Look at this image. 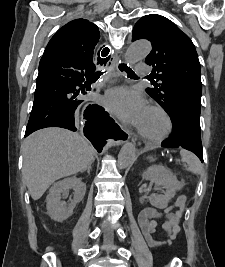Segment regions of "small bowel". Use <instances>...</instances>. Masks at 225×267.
Wrapping results in <instances>:
<instances>
[{"label":"small bowel","instance_id":"c3829d8e","mask_svg":"<svg viewBox=\"0 0 225 267\" xmlns=\"http://www.w3.org/2000/svg\"><path fill=\"white\" fill-rule=\"evenodd\" d=\"M186 198L185 195H180L176 203L164 210H159L153 207L145 208L139 218L141 230L146 241L152 246L170 244L176 238L179 232V219L182 215L179 203L181 199ZM160 227L163 231L166 241L160 242L155 240L154 234L157 228Z\"/></svg>","mask_w":225,"mask_h":267}]
</instances>
